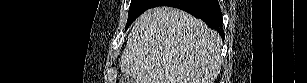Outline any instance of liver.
I'll list each match as a JSON object with an SVG mask.
<instances>
[{"label": "liver", "mask_w": 307, "mask_h": 83, "mask_svg": "<svg viewBox=\"0 0 307 83\" xmlns=\"http://www.w3.org/2000/svg\"><path fill=\"white\" fill-rule=\"evenodd\" d=\"M219 34L173 7H156L135 22L121 57L134 83H214L221 69Z\"/></svg>", "instance_id": "liver-1"}]
</instances>
